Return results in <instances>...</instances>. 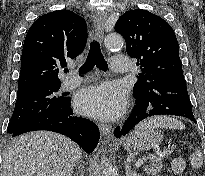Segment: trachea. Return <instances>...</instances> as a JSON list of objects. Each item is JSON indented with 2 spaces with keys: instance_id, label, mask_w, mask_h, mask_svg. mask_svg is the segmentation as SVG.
Wrapping results in <instances>:
<instances>
[{
  "instance_id": "1",
  "label": "trachea",
  "mask_w": 205,
  "mask_h": 176,
  "mask_svg": "<svg viewBox=\"0 0 205 176\" xmlns=\"http://www.w3.org/2000/svg\"><path fill=\"white\" fill-rule=\"evenodd\" d=\"M95 65L97 68L104 70L107 69V62L101 53L100 45L97 41H93L90 44L89 54L85 63L80 67L79 72L81 74L86 73L90 71ZM67 71L68 70H66V72Z\"/></svg>"
}]
</instances>
